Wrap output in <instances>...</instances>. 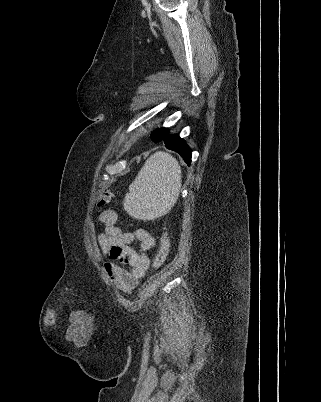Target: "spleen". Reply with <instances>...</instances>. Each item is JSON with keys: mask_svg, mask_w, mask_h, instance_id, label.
Returning <instances> with one entry per match:
<instances>
[{"mask_svg": "<svg viewBox=\"0 0 321 402\" xmlns=\"http://www.w3.org/2000/svg\"><path fill=\"white\" fill-rule=\"evenodd\" d=\"M182 175L178 161L158 151L150 156L129 186L124 210L133 218L153 220L168 212L176 203Z\"/></svg>", "mask_w": 321, "mask_h": 402, "instance_id": "obj_1", "label": "spleen"}]
</instances>
